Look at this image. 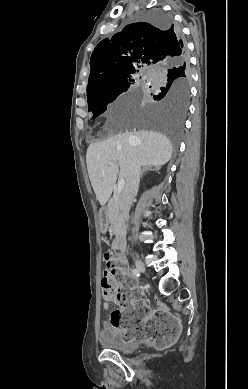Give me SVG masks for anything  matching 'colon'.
<instances>
[{
  "mask_svg": "<svg viewBox=\"0 0 248 389\" xmlns=\"http://www.w3.org/2000/svg\"><path fill=\"white\" fill-rule=\"evenodd\" d=\"M105 261L101 290L105 298L119 301V309L111 313L110 323L121 331L123 343L144 344L153 337L155 350H166L168 344H175L181 323L172 317V312L152 311L150 315V306L142 301L137 279L126 272L123 260L107 253Z\"/></svg>",
  "mask_w": 248,
  "mask_h": 389,
  "instance_id": "5ec220e1",
  "label": "colon"
}]
</instances>
